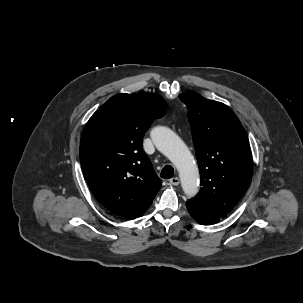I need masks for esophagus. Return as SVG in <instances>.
<instances>
[{"label": "esophagus", "instance_id": "esophagus-1", "mask_svg": "<svg viewBox=\"0 0 303 303\" xmlns=\"http://www.w3.org/2000/svg\"><path fill=\"white\" fill-rule=\"evenodd\" d=\"M169 183L173 186H178L180 183V180L178 177H173L169 180Z\"/></svg>", "mask_w": 303, "mask_h": 303}]
</instances>
